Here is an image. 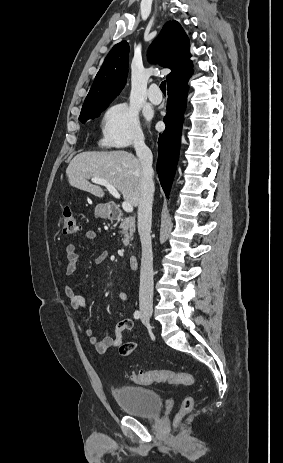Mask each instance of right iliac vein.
<instances>
[{"instance_id":"right-iliac-vein-1","label":"right iliac vein","mask_w":283,"mask_h":463,"mask_svg":"<svg viewBox=\"0 0 283 463\" xmlns=\"http://www.w3.org/2000/svg\"><path fill=\"white\" fill-rule=\"evenodd\" d=\"M143 316H144L146 319L149 320V319L151 318L152 314H151V312H149V311H143Z\"/></svg>"}]
</instances>
